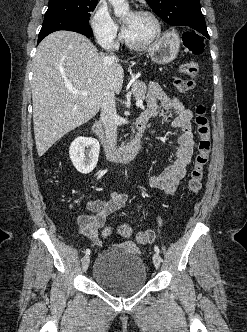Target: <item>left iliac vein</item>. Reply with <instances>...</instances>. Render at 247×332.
<instances>
[{
    "label": "left iliac vein",
    "instance_id": "1",
    "mask_svg": "<svg viewBox=\"0 0 247 332\" xmlns=\"http://www.w3.org/2000/svg\"><path fill=\"white\" fill-rule=\"evenodd\" d=\"M153 263H154V266L158 269L160 267V264H161V257L158 253H155L153 255Z\"/></svg>",
    "mask_w": 247,
    "mask_h": 332
}]
</instances>
